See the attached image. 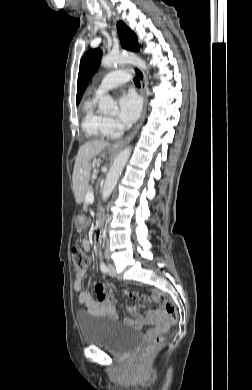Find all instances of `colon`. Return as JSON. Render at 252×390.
<instances>
[{
    "mask_svg": "<svg viewBox=\"0 0 252 390\" xmlns=\"http://www.w3.org/2000/svg\"><path fill=\"white\" fill-rule=\"evenodd\" d=\"M73 268L76 273L83 271L89 263L88 255L80 248L74 247L71 252ZM122 294L129 295L134 299L145 300L144 294L121 291ZM154 298L163 301V308L167 315L168 322L175 324L178 320V311L175 303L164 293L155 291ZM164 343V336L159 335L155 337L151 342L147 343L140 352L142 360H148L157 350H159Z\"/></svg>",
    "mask_w": 252,
    "mask_h": 390,
    "instance_id": "1",
    "label": "colon"
}]
</instances>
